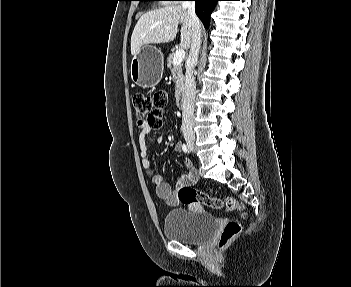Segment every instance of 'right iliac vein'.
<instances>
[{
	"label": "right iliac vein",
	"mask_w": 351,
	"mask_h": 287,
	"mask_svg": "<svg viewBox=\"0 0 351 287\" xmlns=\"http://www.w3.org/2000/svg\"><path fill=\"white\" fill-rule=\"evenodd\" d=\"M186 142L191 149H194V139L193 138L186 139Z\"/></svg>",
	"instance_id": "63e3f726"
}]
</instances>
